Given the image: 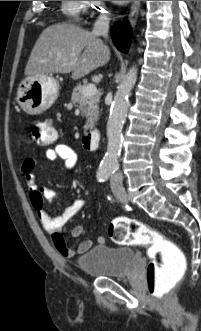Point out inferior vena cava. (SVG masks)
<instances>
[{
    "label": "inferior vena cava",
    "mask_w": 201,
    "mask_h": 331,
    "mask_svg": "<svg viewBox=\"0 0 201 331\" xmlns=\"http://www.w3.org/2000/svg\"><path fill=\"white\" fill-rule=\"evenodd\" d=\"M109 20L110 18L107 15H100L94 23L92 33L97 36L102 35L107 37L109 30ZM119 177H121V175Z\"/></svg>",
    "instance_id": "obj_1"
}]
</instances>
